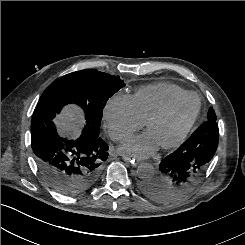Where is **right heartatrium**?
Instances as JSON below:
<instances>
[{"instance_id": "obj_1", "label": "right heart atrium", "mask_w": 245, "mask_h": 245, "mask_svg": "<svg viewBox=\"0 0 245 245\" xmlns=\"http://www.w3.org/2000/svg\"><path fill=\"white\" fill-rule=\"evenodd\" d=\"M103 122L109 136L118 142L126 140L143 126L133 98L122 94H115L107 100L103 109Z\"/></svg>"}]
</instances>
